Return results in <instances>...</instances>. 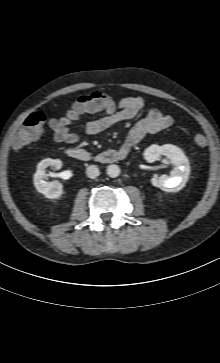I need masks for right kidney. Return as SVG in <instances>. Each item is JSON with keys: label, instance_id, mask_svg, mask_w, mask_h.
Masks as SVG:
<instances>
[{"label": "right kidney", "instance_id": "1", "mask_svg": "<svg viewBox=\"0 0 220 363\" xmlns=\"http://www.w3.org/2000/svg\"><path fill=\"white\" fill-rule=\"evenodd\" d=\"M53 166L56 169L62 167V161L59 159L47 158L37 165V171L33 176L34 186L37 191L45 197L54 199L59 198L63 194V185L59 182H47L44 180L46 176V168Z\"/></svg>", "mask_w": 220, "mask_h": 363}]
</instances>
